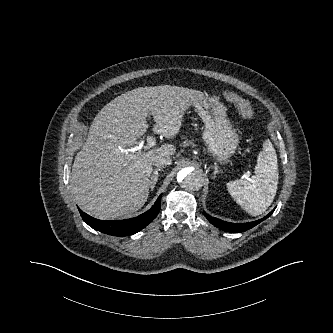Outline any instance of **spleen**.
<instances>
[{"mask_svg":"<svg viewBox=\"0 0 333 333\" xmlns=\"http://www.w3.org/2000/svg\"><path fill=\"white\" fill-rule=\"evenodd\" d=\"M255 180H235L227 183L231 196L250 215L264 213L272 204L277 192L279 179L276 151L268 139L258 155L255 166Z\"/></svg>","mask_w":333,"mask_h":333,"instance_id":"3e777b00","label":"spleen"}]
</instances>
